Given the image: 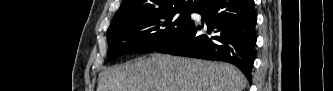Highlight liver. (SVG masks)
<instances>
[{"instance_id":"6515ba94","label":"liver","mask_w":333,"mask_h":91,"mask_svg":"<svg viewBox=\"0 0 333 91\" xmlns=\"http://www.w3.org/2000/svg\"><path fill=\"white\" fill-rule=\"evenodd\" d=\"M246 83L227 63L154 53L102 71L97 91H243Z\"/></svg>"}]
</instances>
